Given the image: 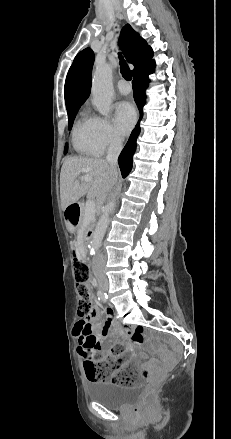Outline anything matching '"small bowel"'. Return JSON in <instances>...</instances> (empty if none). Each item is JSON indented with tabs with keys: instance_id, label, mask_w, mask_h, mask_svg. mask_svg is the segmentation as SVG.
<instances>
[{
	"instance_id": "1",
	"label": "small bowel",
	"mask_w": 231,
	"mask_h": 439,
	"mask_svg": "<svg viewBox=\"0 0 231 439\" xmlns=\"http://www.w3.org/2000/svg\"><path fill=\"white\" fill-rule=\"evenodd\" d=\"M101 309L95 305L88 319H79L74 326V334L78 338V354L82 357L88 348L101 352L102 356L109 358L111 345L118 339L126 342L127 351L119 358L123 367H133L136 373L147 375L149 370L141 367L133 360L137 349L143 344L142 330L123 329L117 326L113 320V311H105V322L100 323ZM98 332L95 333V330ZM131 356H128V355Z\"/></svg>"
}]
</instances>
